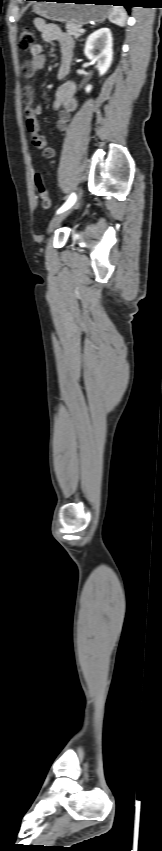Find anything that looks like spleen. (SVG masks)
<instances>
[{
  "label": "spleen",
  "mask_w": 162,
  "mask_h": 851,
  "mask_svg": "<svg viewBox=\"0 0 162 851\" xmlns=\"http://www.w3.org/2000/svg\"><path fill=\"white\" fill-rule=\"evenodd\" d=\"M108 19L111 23L123 27L126 21L125 9L119 6H112Z\"/></svg>",
  "instance_id": "3e777b00"
}]
</instances>
